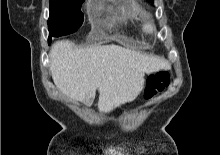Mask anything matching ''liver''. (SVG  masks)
Listing matches in <instances>:
<instances>
[{"label": "liver", "mask_w": 220, "mask_h": 155, "mask_svg": "<svg viewBox=\"0 0 220 155\" xmlns=\"http://www.w3.org/2000/svg\"><path fill=\"white\" fill-rule=\"evenodd\" d=\"M49 56L56 87L89 106L98 90L101 113L135 100L144 88L145 74L170 68L164 59L115 44L79 49L61 40L52 45Z\"/></svg>", "instance_id": "6515ba94"}]
</instances>
